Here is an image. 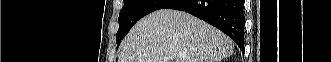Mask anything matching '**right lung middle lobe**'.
<instances>
[{"mask_svg": "<svg viewBox=\"0 0 331 62\" xmlns=\"http://www.w3.org/2000/svg\"><path fill=\"white\" fill-rule=\"evenodd\" d=\"M173 0H124L119 14V29L116 35L117 45L129 32L132 26L145 15L164 8Z\"/></svg>", "mask_w": 331, "mask_h": 62, "instance_id": "dd1d6c3e", "label": "right lung middle lobe"}]
</instances>
